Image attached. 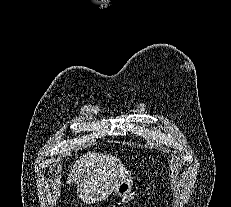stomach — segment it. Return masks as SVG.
Segmentation results:
<instances>
[{"label":"stomach","instance_id":"1","mask_svg":"<svg viewBox=\"0 0 231 207\" xmlns=\"http://www.w3.org/2000/svg\"><path fill=\"white\" fill-rule=\"evenodd\" d=\"M133 189V179L129 176L122 181L114 190V194L120 197H126Z\"/></svg>","mask_w":231,"mask_h":207}]
</instances>
